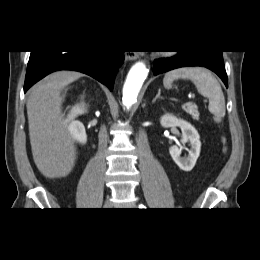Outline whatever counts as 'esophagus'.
<instances>
[{"label":"esophagus","instance_id":"obj_1","mask_svg":"<svg viewBox=\"0 0 260 260\" xmlns=\"http://www.w3.org/2000/svg\"><path fill=\"white\" fill-rule=\"evenodd\" d=\"M127 57H128L130 60H136V59L139 57V55L134 52V53H128V54H127Z\"/></svg>","mask_w":260,"mask_h":260}]
</instances>
